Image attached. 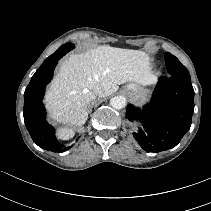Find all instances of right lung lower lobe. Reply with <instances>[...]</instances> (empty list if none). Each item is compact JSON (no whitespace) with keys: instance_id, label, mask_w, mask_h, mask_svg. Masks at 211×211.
<instances>
[{"instance_id":"98d812e1","label":"right lung lower lobe","mask_w":211,"mask_h":211,"mask_svg":"<svg viewBox=\"0 0 211 211\" xmlns=\"http://www.w3.org/2000/svg\"><path fill=\"white\" fill-rule=\"evenodd\" d=\"M58 63L54 60L41 65L32 76L24 93V122L33 141L48 151L64 152L71 146H62L55 137L53 126L45 119L46 112L42 103L46 85L50 82Z\"/></svg>"}]
</instances>
